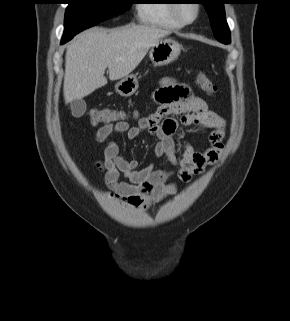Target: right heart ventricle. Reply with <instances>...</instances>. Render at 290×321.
Listing matches in <instances>:
<instances>
[{
	"mask_svg": "<svg viewBox=\"0 0 290 321\" xmlns=\"http://www.w3.org/2000/svg\"><path fill=\"white\" fill-rule=\"evenodd\" d=\"M173 0H148L138 6V19L148 25L161 26L172 29L182 28L172 14Z\"/></svg>",
	"mask_w": 290,
	"mask_h": 321,
	"instance_id": "1",
	"label": "right heart ventricle"
}]
</instances>
